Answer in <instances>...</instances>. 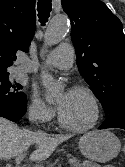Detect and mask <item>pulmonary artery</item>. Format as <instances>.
<instances>
[{
	"label": "pulmonary artery",
	"mask_w": 125,
	"mask_h": 167,
	"mask_svg": "<svg viewBox=\"0 0 125 167\" xmlns=\"http://www.w3.org/2000/svg\"><path fill=\"white\" fill-rule=\"evenodd\" d=\"M74 62V51L70 44L63 43L58 48L50 52L46 58L39 63H31L23 60L20 70L24 72L37 71L43 67H51L57 69H69Z\"/></svg>",
	"instance_id": "e3ab8cb5"
}]
</instances>
